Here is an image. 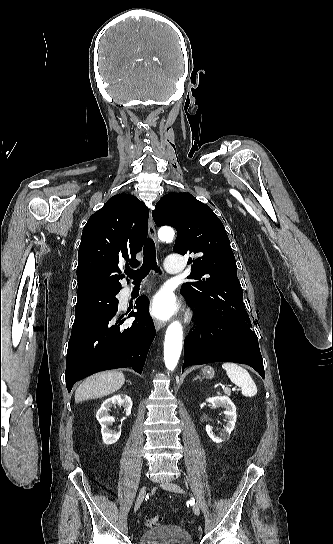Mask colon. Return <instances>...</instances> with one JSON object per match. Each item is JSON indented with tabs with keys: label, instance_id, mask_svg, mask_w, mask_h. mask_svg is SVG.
<instances>
[{
	"label": "colon",
	"instance_id": "obj_1",
	"mask_svg": "<svg viewBox=\"0 0 333 544\" xmlns=\"http://www.w3.org/2000/svg\"><path fill=\"white\" fill-rule=\"evenodd\" d=\"M160 518L158 517H151V518H147L145 520V526L147 528H154L156 526H158L160 524Z\"/></svg>",
	"mask_w": 333,
	"mask_h": 544
}]
</instances>
